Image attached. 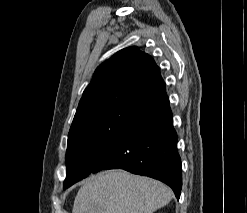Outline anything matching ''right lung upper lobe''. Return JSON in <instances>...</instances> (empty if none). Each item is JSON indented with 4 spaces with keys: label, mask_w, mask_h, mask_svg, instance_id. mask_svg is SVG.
<instances>
[{
    "label": "right lung upper lobe",
    "mask_w": 247,
    "mask_h": 213,
    "mask_svg": "<svg viewBox=\"0 0 247 213\" xmlns=\"http://www.w3.org/2000/svg\"><path fill=\"white\" fill-rule=\"evenodd\" d=\"M164 87L159 68L148 54L136 46L122 49L96 69L71 128L110 107L148 96Z\"/></svg>",
    "instance_id": "1"
}]
</instances>
